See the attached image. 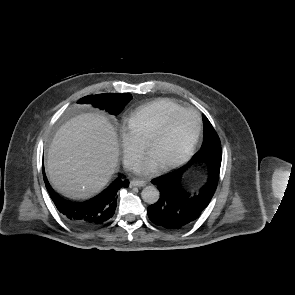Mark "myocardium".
Wrapping results in <instances>:
<instances>
[{
	"label": "myocardium",
	"instance_id": "myocardium-1",
	"mask_svg": "<svg viewBox=\"0 0 295 295\" xmlns=\"http://www.w3.org/2000/svg\"><path fill=\"white\" fill-rule=\"evenodd\" d=\"M181 114H192L195 117V121H196V129L194 132V135L188 145V147L186 148V150L176 159L163 164L160 166L161 170H169L172 168H175L181 164H183L184 162H186L190 156L193 154L197 143L199 141L200 138V134H201V129H202V124H201V118L199 116V114L193 110V109H189V108H182L178 111L173 112L172 114H170L164 121L163 123L157 128V130L148 138V140L145 143V149L146 151L149 153L150 148L160 139L162 138V136L165 134V132L167 131V129L169 128V126L171 125L172 121L179 115Z\"/></svg>",
	"mask_w": 295,
	"mask_h": 295
}]
</instances>
